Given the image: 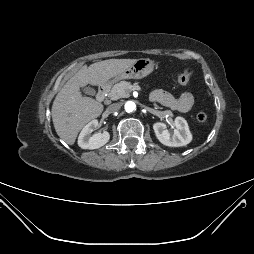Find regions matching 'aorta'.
Masks as SVG:
<instances>
[{"label": "aorta", "instance_id": "1", "mask_svg": "<svg viewBox=\"0 0 254 254\" xmlns=\"http://www.w3.org/2000/svg\"><path fill=\"white\" fill-rule=\"evenodd\" d=\"M135 109H136V105L134 102L128 101L125 103V110L127 112H133V111H135Z\"/></svg>", "mask_w": 254, "mask_h": 254}]
</instances>
